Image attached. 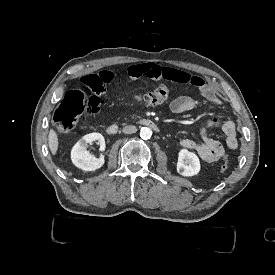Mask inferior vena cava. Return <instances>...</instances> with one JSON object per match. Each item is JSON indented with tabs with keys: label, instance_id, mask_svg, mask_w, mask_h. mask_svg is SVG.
<instances>
[{
	"label": "inferior vena cava",
	"instance_id": "602c4592",
	"mask_svg": "<svg viewBox=\"0 0 275 275\" xmlns=\"http://www.w3.org/2000/svg\"><path fill=\"white\" fill-rule=\"evenodd\" d=\"M122 132H123L124 134H132V133L137 132V128H136L135 126H132V125L125 126V127L122 129Z\"/></svg>",
	"mask_w": 275,
	"mask_h": 275
}]
</instances>
